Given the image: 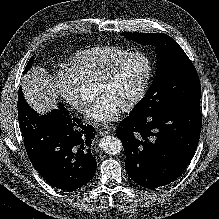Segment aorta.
Listing matches in <instances>:
<instances>
[{
  "label": "aorta",
  "instance_id": "aorta-1",
  "mask_svg": "<svg viewBox=\"0 0 219 219\" xmlns=\"http://www.w3.org/2000/svg\"><path fill=\"white\" fill-rule=\"evenodd\" d=\"M100 148L109 155H117L122 149V142L119 138L114 136H105L100 140Z\"/></svg>",
  "mask_w": 219,
  "mask_h": 219
}]
</instances>
